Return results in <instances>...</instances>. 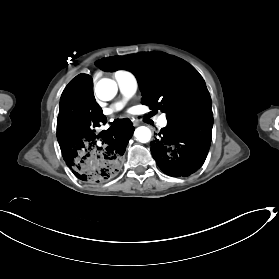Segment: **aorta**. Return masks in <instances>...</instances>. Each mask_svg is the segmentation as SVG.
Returning a JSON list of instances; mask_svg holds the SVG:
<instances>
[{"label": "aorta", "instance_id": "762f6f07", "mask_svg": "<svg viewBox=\"0 0 279 279\" xmlns=\"http://www.w3.org/2000/svg\"><path fill=\"white\" fill-rule=\"evenodd\" d=\"M117 90L118 88L116 82L108 78L101 79L95 88L97 97L103 101L113 99L117 94ZM134 134L137 140L141 143H147L151 139V131L145 126L136 128Z\"/></svg>", "mask_w": 279, "mask_h": 279}]
</instances>
